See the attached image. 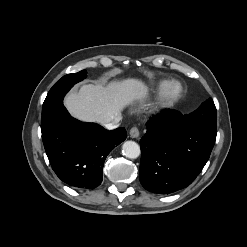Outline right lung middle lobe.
<instances>
[{"instance_id": "1", "label": "right lung middle lobe", "mask_w": 247, "mask_h": 247, "mask_svg": "<svg viewBox=\"0 0 247 247\" xmlns=\"http://www.w3.org/2000/svg\"><path fill=\"white\" fill-rule=\"evenodd\" d=\"M85 78L86 70L63 76L58 82L54 84V86L47 94V97L43 103L42 112L63 103V98L65 94L71 89V87Z\"/></svg>"}]
</instances>
